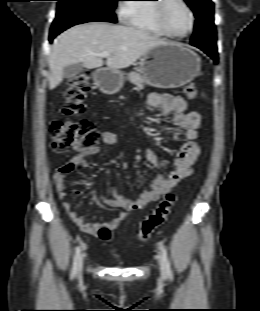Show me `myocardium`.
Listing matches in <instances>:
<instances>
[{"instance_id":"obj_1","label":"myocardium","mask_w":260,"mask_h":311,"mask_svg":"<svg viewBox=\"0 0 260 311\" xmlns=\"http://www.w3.org/2000/svg\"><path fill=\"white\" fill-rule=\"evenodd\" d=\"M188 11L190 18H191V23H190V27L188 29V31L184 34H175L173 32H171L166 23H165V8L167 3L169 2V0H157V3L154 4V15H155V19L156 22L158 24V26L160 27V29L169 37L172 38H184L187 37L188 35H190L195 27V14L193 9L191 8V6L187 3L186 0H178Z\"/></svg>"}]
</instances>
